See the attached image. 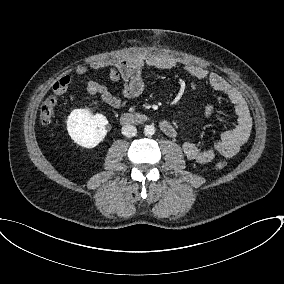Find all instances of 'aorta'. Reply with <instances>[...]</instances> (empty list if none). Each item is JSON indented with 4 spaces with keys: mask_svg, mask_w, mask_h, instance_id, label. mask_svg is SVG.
<instances>
[{
    "mask_svg": "<svg viewBox=\"0 0 284 284\" xmlns=\"http://www.w3.org/2000/svg\"><path fill=\"white\" fill-rule=\"evenodd\" d=\"M145 136L151 137L155 134V128L153 125H146L144 128Z\"/></svg>",
    "mask_w": 284,
    "mask_h": 284,
    "instance_id": "obj_1",
    "label": "aorta"
}]
</instances>
